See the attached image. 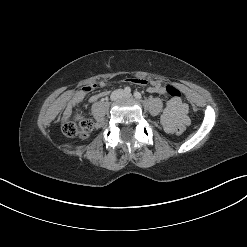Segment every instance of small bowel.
<instances>
[{
	"label": "small bowel",
	"mask_w": 247,
	"mask_h": 247,
	"mask_svg": "<svg viewBox=\"0 0 247 247\" xmlns=\"http://www.w3.org/2000/svg\"><path fill=\"white\" fill-rule=\"evenodd\" d=\"M131 82L147 86V90L150 93H156L161 95H166V90L164 85L157 81H149L141 78L130 79ZM97 86L105 87L106 83L101 81L98 85L88 84L82 89L75 92L67 102L66 109L64 112V119L70 117L74 106L82 101L85 96L93 91ZM104 94H96L90 97L89 103L97 101L99 98L103 97ZM189 107L181 99L171 98L166 102L165 109L161 114L162 125L168 133H173L177 125L187 126L190 122L188 117Z\"/></svg>",
	"instance_id": "obj_1"
}]
</instances>
